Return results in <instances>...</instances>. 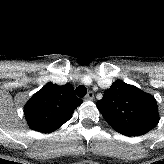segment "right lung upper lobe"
I'll return each mask as SVG.
<instances>
[{
    "instance_id": "1",
    "label": "right lung upper lobe",
    "mask_w": 164,
    "mask_h": 164,
    "mask_svg": "<svg viewBox=\"0 0 164 164\" xmlns=\"http://www.w3.org/2000/svg\"><path fill=\"white\" fill-rule=\"evenodd\" d=\"M81 103L70 83L58 86L49 82L26 103L24 114L31 129L51 133L72 118Z\"/></svg>"
}]
</instances>
